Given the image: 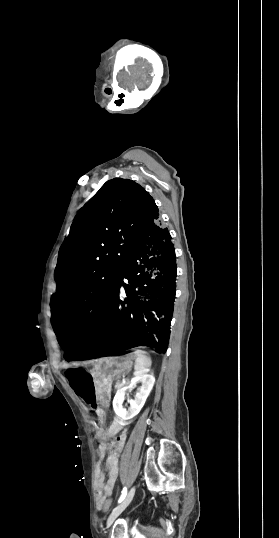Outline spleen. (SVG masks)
<instances>
[{
  "mask_svg": "<svg viewBox=\"0 0 279 538\" xmlns=\"http://www.w3.org/2000/svg\"><path fill=\"white\" fill-rule=\"evenodd\" d=\"M132 354H134L136 358L135 370H148V368H151L152 362L147 352H143V350H135Z\"/></svg>",
  "mask_w": 279,
  "mask_h": 538,
  "instance_id": "1",
  "label": "spleen"
}]
</instances>
